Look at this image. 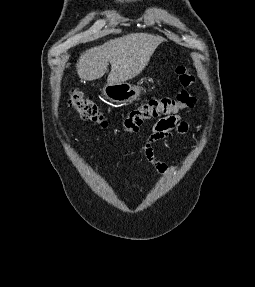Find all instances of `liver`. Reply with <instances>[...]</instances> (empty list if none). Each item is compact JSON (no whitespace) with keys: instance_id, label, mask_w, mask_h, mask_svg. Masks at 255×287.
<instances>
[{"instance_id":"liver-1","label":"liver","mask_w":255,"mask_h":287,"mask_svg":"<svg viewBox=\"0 0 255 287\" xmlns=\"http://www.w3.org/2000/svg\"><path fill=\"white\" fill-rule=\"evenodd\" d=\"M162 42L164 38L151 34H127L122 38H115L105 42L103 46L91 48L81 54L76 64L77 74L80 80L87 82L99 80L104 76L110 62L108 84L127 82L141 74L157 46Z\"/></svg>"}]
</instances>
